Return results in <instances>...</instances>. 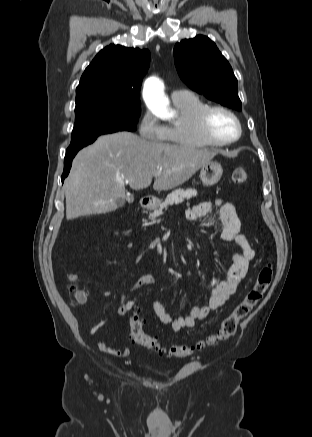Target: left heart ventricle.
Listing matches in <instances>:
<instances>
[{"label":"left heart ventricle","instance_id":"obj_1","mask_svg":"<svg viewBox=\"0 0 312 437\" xmlns=\"http://www.w3.org/2000/svg\"><path fill=\"white\" fill-rule=\"evenodd\" d=\"M208 128L211 134L220 140L233 138L237 134V125L228 114L215 111L208 120Z\"/></svg>","mask_w":312,"mask_h":437}]
</instances>
